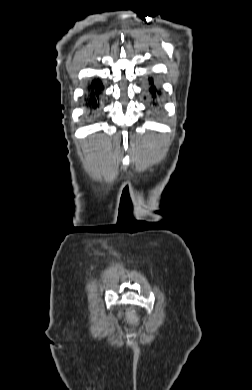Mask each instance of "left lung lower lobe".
I'll return each instance as SVG.
<instances>
[{
	"label": "left lung lower lobe",
	"instance_id": "left-lung-lower-lobe-1",
	"mask_svg": "<svg viewBox=\"0 0 252 390\" xmlns=\"http://www.w3.org/2000/svg\"><path fill=\"white\" fill-rule=\"evenodd\" d=\"M147 99L150 101L152 106H158L159 98L161 96V90L157 83L154 81L153 77H148L147 83Z\"/></svg>",
	"mask_w": 252,
	"mask_h": 390
}]
</instances>
